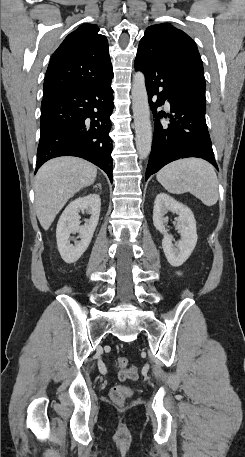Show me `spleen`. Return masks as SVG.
Instances as JSON below:
<instances>
[{
    "label": "spleen",
    "instance_id": "3e777b00",
    "mask_svg": "<svg viewBox=\"0 0 245 457\" xmlns=\"http://www.w3.org/2000/svg\"><path fill=\"white\" fill-rule=\"evenodd\" d=\"M157 180L168 192H191L207 206L215 204L219 198V182L215 168L203 158L174 160L157 172Z\"/></svg>",
    "mask_w": 245,
    "mask_h": 457
}]
</instances>
